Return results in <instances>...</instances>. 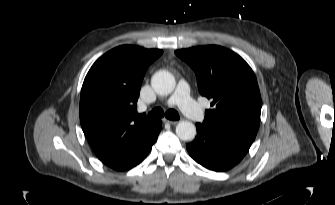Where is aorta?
Listing matches in <instances>:
<instances>
[{"instance_id":"762f6f07","label":"aorta","mask_w":335,"mask_h":205,"mask_svg":"<svg viewBox=\"0 0 335 205\" xmlns=\"http://www.w3.org/2000/svg\"><path fill=\"white\" fill-rule=\"evenodd\" d=\"M151 85L157 94L168 95L175 88V78L169 71L160 70L152 76ZM176 135L183 141H192L196 136V127L189 121H181L176 126Z\"/></svg>"}]
</instances>
